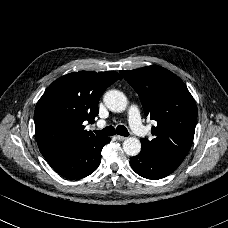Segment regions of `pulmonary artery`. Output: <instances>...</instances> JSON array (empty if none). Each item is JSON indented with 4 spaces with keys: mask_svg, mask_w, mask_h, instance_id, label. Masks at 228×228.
I'll return each mask as SVG.
<instances>
[{
    "mask_svg": "<svg viewBox=\"0 0 228 228\" xmlns=\"http://www.w3.org/2000/svg\"><path fill=\"white\" fill-rule=\"evenodd\" d=\"M137 114H138L137 109L135 107L132 108V110L130 112V118L132 119V118L136 117ZM104 125H105V122H98L97 123V126H104ZM131 127H132V129L136 130L137 133L140 135L145 134L147 131L146 128L142 126V122L139 119L132 120Z\"/></svg>",
    "mask_w": 228,
    "mask_h": 228,
    "instance_id": "pulmonary-artery-1",
    "label": "pulmonary artery"
}]
</instances>
